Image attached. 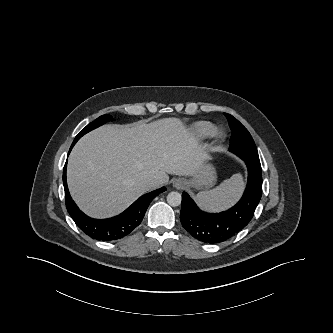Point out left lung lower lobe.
<instances>
[{
	"label": "left lung lower lobe",
	"instance_id": "left-lung-lower-lobe-1",
	"mask_svg": "<svg viewBox=\"0 0 333 333\" xmlns=\"http://www.w3.org/2000/svg\"><path fill=\"white\" fill-rule=\"evenodd\" d=\"M245 161V160H244ZM248 182L240 201L227 211H201L190 196L183 192L180 221L184 229L204 243H220L241 231L252 219L262 195L261 165L245 161Z\"/></svg>",
	"mask_w": 333,
	"mask_h": 333
}]
</instances>
